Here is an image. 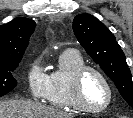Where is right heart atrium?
Masks as SVG:
<instances>
[{
	"label": "right heart atrium",
	"instance_id": "obj_1",
	"mask_svg": "<svg viewBox=\"0 0 133 118\" xmlns=\"http://www.w3.org/2000/svg\"><path fill=\"white\" fill-rule=\"evenodd\" d=\"M27 83L31 96L35 100H44L47 95L48 75L39 60L33 61L27 70Z\"/></svg>",
	"mask_w": 133,
	"mask_h": 118
}]
</instances>
